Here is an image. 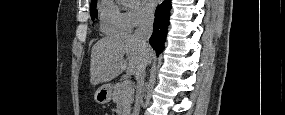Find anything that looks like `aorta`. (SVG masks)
I'll return each instance as SVG.
<instances>
[{
  "label": "aorta",
  "mask_w": 285,
  "mask_h": 115,
  "mask_svg": "<svg viewBox=\"0 0 285 115\" xmlns=\"http://www.w3.org/2000/svg\"><path fill=\"white\" fill-rule=\"evenodd\" d=\"M125 2H126L127 4H131V3L136 2V0H125Z\"/></svg>",
  "instance_id": "obj_1"
}]
</instances>
